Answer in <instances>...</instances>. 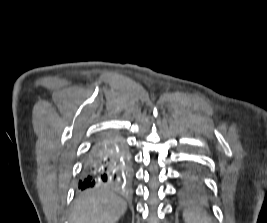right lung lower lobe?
Listing matches in <instances>:
<instances>
[{"label":"right lung lower lobe","instance_id":"1","mask_svg":"<svg viewBox=\"0 0 267 223\" xmlns=\"http://www.w3.org/2000/svg\"><path fill=\"white\" fill-rule=\"evenodd\" d=\"M132 178L131 158L127 147L116 134L100 137L92 146L83 167L79 189L109 185L126 189Z\"/></svg>","mask_w":267,"mask_h":223}]
</instances>
